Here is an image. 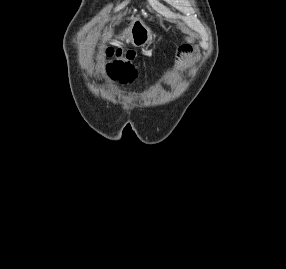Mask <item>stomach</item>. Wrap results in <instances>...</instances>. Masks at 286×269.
I'll list each match as a JSON object with an SVG mask.
<instances>
[{
	"label": "stomach",
	"instance_id": "1",
	"mask_svg": "<svg viewBox=\"0 0 286 269\" xmlns=\"http://www.w3.org/2000/svg\"><path fill=\"white\" fill-rule=\"evenodd\" d=\"M122 40L135 47L145 46L152 42L151 29L143 21H135L122 35Z\"/></svg>",
	"mask_w": 286,
	"mask_h": 269
}]
</instances>
